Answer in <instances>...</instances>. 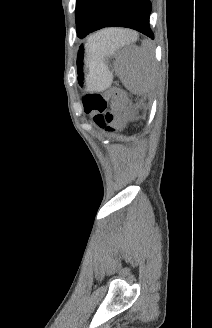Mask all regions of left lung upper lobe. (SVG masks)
I'll list each match as a JSON object with an SVG mask.
<instances>
[{
	"label": "left lung upper lobe",
	"instance_id": "left-lung-upper-lobe-1",
	"mask_svg": "<svg viewBox=\"0 0 212 328\" xmlns=\"http://www.w3.org/2000/svg\"><path fill=\"white\" fill-rule=\"evenodd\" d=\"M104 0H76L77 35L84 38L92 28Z\"/></svg>",
	"mask_w": 212,
	"mask_h": 328
}]
</instances>
